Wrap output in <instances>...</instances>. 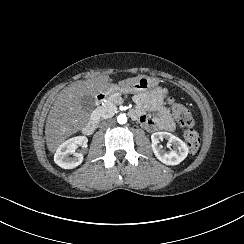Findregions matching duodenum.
Masks as SVG:
<instances>
[{"label":"duodenum","instance_id":"1","mask_svg":"<svg viewBox=\"0 0 244 244\" xmlns=\"http://www.w3.org/2000/svg\"><path fill=\"white\" fill-rule=\"evenodd\" d=\"M106 99L104 92H99L97 94V101L95 102V105L97 107H101L103 105V101ZM98 124V116L93 115L83 126V134L87 136H92L94 132L96 131Z\"/></svg>","mask_w":244,"mask_h":244}]
</instances>
